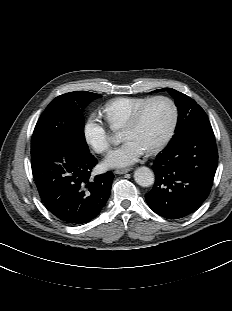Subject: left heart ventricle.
Wrapping results in <instances>:
<instances>
[{"instance_id":"b2bd125f","label":"left heart ventricle","mask_w":232,"mask_h":311,"mask_svg":"<svg viewBox=\"0 0 232 311\" xmlns=\"http://www.w3.org/2000/svg\"><path fill=\"white\" fill-rule=\"evenodd\" d=\"M172 119V109L166 101H156L145 111L139 124L122 131L124 140H136L146 149L157 144L165 135Z\"/></svg>"}]
</instances>
